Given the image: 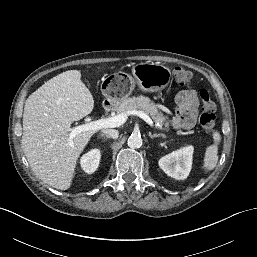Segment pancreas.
I'll list each match as a JSON object with an SVG mask.
<instances>
[{"label":"pancreas","mask_w":257,"mask_h":257,"mask_svg":"<svg viewBox=\"0 0 257 257\" xmlns=\"http://www.w3.org/2000/svg\"><path fill=\"white\" fill-rule=\"evenodd\" d=\"M132 110L143 111L150 115L156 122L157 128L163 131H168L169 124L165 123V116L159 110L158 106L152 102L148 97L138 96L124 99L116 108L117 113H129Z\"/></svg>","instance_id":"obj_1"}]
</instances>
